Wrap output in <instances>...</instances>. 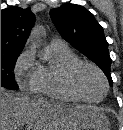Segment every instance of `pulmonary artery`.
I'll return each instance as SVG.
<instances>
[{
  "label": "pulmonary artery",
  "instance_id": "e3ab8cb5",
  "mask_svg": "<svg viewBox=\"0 0 123 130\" xmlns=\"http://www.w3.org/2000/svg\"><path fill=\"white\" fill-rule=\"evenodd\" d=\"M50 44L51 45H56V46H64L66 45L65 41L61 38H57V37H54L51 39L50 41Z\"/></svg>",
  "mask_w": 123,
  "mask_h": 130
}]
</instances>
